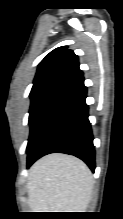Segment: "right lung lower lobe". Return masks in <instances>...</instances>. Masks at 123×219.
<instances>
[{"instance_id":"1","label":"right lung lower lobe","mask_w":123,"mask_h":219,"mask_svg":"<svg viewBox=\"0 0 123 219\" xmlns=\"http://www.w3.org/2000/svg\"><path fill=\"white\" fill-rule=\"evenodd\" d=\"M83 75L70 82L46 115L28 159L30 167L49 153H66L82 159L95 170V149Z\"/></svg>"}]
</instances>
